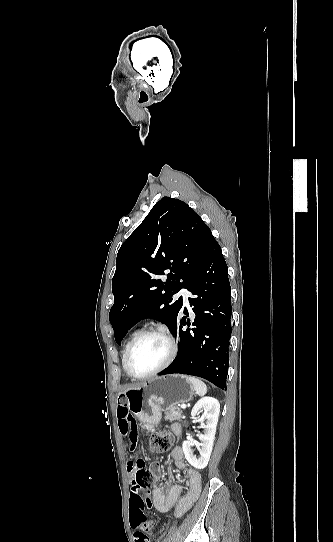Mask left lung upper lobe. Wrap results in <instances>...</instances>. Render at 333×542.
I'll use <instances>...</instances> for the list:
<instances>
[{"label": "left lung upper lobe", "mask_w": 333, "mask_h": 542, "mask_svg": "<svg viewBox=\"0 0 333 542\" xmlns=\"http://www.w3.org/2000/svg\"><path fill=\"white\" fill-rule=\"evenodd\" d=\"M211 230L185 202L163 197L120 247L112 280L109 321L120 345L128 330L153 318L173 330L182 297L213 239ZM170 270L166 281L160 279Z\"/></svg>", "instance_id": "obj_1"}]
</instances>
